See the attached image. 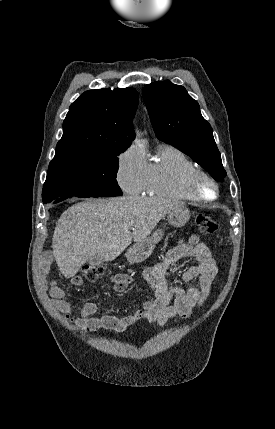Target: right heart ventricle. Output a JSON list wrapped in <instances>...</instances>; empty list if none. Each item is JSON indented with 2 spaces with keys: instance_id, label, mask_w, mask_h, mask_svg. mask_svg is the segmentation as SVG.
I'll list each match as a JSON object with an SVG mask.
<instances>
[{
  "instance_id": "right-heart-ventricle-1",
  "label": "right heart ventricle",
  "mask_w": 275,
  "mask_h": 429,
  "mask_svg": "<svg viewBox=\"0 0 275 429\" xmlns=\"http://www.w3.org/2000/svg\"><path fill=\"white\" fill-rule=\"evenodd\" d=\"M198 167L182 150L172 145L159 147L155 158L147 163V180L144 192L147 195L193 201L186 182Z\"/></svg>"
}]
</instances>
